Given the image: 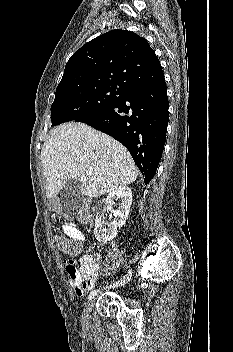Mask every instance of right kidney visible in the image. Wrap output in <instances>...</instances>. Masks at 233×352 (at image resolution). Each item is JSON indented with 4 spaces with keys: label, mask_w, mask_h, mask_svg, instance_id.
<instances>
[{
    "label": "right kidney",
    "mask_w": 233,
    "mask_h": 352,
    "mask_svg": "<svg viewBox=\"0 0 233 352\" xmlns=\"http://www.w3.org/2000/svg\"><path fill=\"white\" fill-rule=\"evenodd\" d=\"M116 200H120L121 203L116 210H112L111 206L115 204ZM131 203L132 191L127 186H121L108 195L103 206V212L97 214L95 220L94 234L99 242L107 243L116 237L117 229L121 228L128 219ZM108 210L112 211L114 219L106 228L105 212Z\"/></svg>",
    "instance_id": "ca27d5eb"
}]
</instances>
